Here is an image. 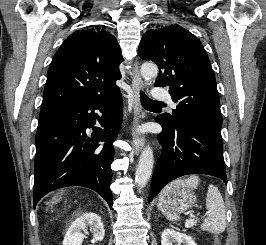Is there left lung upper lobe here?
I'll return each instance as SVG.
<instances>
[{"mask_svg":"<svg viewBox=\"0 0 266 245\" xmlns=\"http://www.w3.org/2000/svg\"><path fill=\"white\" fill-rule=\"evenodd\" d=\"M138 54L158 65L155 86H169L178 103L172 115L159 116L168 126L174 128L178 120L189 118L222 127L214 71L196 36L177 24L156 27L144 33Z\"/></svg>","mask_w":266,"mask_h":245,"instance_id":"obj_1","label":"left lung upper lobe"}]
</instances>
